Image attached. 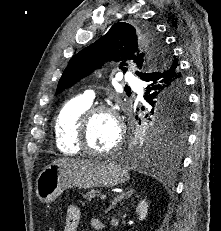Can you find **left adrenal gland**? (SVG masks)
Instances as JSON below:
<instances>
[{"instance_id": "a2214340", "label": "left adrenal gland", "mask_w": 221, "mask_h": 231, "mask_svg": "<svg viewBox=\"0 0 221 231\" xmlns=\"http://www.w3.org/2000/svg\"><path fill=\"white\" fill-rule=\"evenodd\" d=\"M132 194H133V189L127 188L126 191L122 192L121 194L117 195L114 198L112 204L110 205L107 211H110L111 209L115 208L118 202H121L124 198H129Z\"/></svg>"}]
</instances>
